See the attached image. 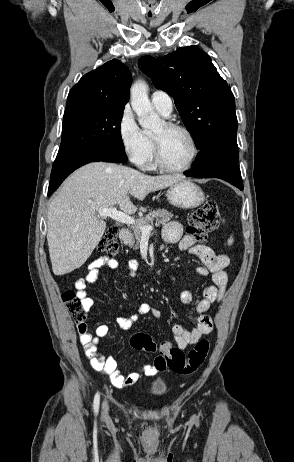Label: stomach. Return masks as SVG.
<instances>
[{"instance_id": "0dacf381", "label": "stomach", "mask_w": 294, "mask_h": 462, "mask_svg": "<svg viewBox=\"0 0 294 462\" xmlns=\"http://www.w3.org/2000/svg\"><path fill=\"white\" fill-rule=\"evenodd\" d=\"M167 200L179 208H195L205 200L202 189L192 181L183 179L171 185L166 192Z\"/></svg>"}]
</instances>
